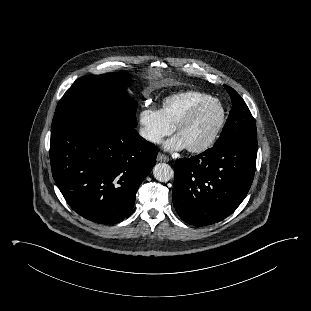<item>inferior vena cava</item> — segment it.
<instances>
[{
  "label": "inferior vena cava",
  "instance_id": "1",
  "mask_svg": "<svg viewBox=\"0 0 311 311\" xmlns=\"http://www.w3.org/2000/svg\"><path fill=\"white\" fill-rule=\"evenodd\" d=\"M139 134L144 139L154 142V143L160 140V137L158 135L154 134L152 131H150L147 128H141L139 131Z\"/></svg>",
  "mask_w": 311,
  "mask_h": 311
}]
</instances>
